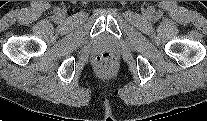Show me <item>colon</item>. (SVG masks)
<instances>
[{
  "label": "colon",
  "instance_id": "5ec220e1",
  "mask_svg": "<svg viewBox=\"0 0 207 121\" xmlns=\"http://www.w3.org/2000/svg\"><path fill=\"white\" fill-rule=\"evenodd\" d=\"M95 64L100 72H111L116 66V58L111 52H102L96 56Z\"/></svg>",
  "mask_w": 207,
  "mask_h": 121
}]
</instances>
